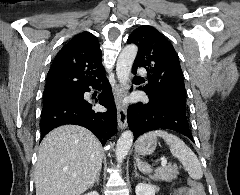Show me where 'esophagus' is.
Returning <instances> with one entry per match:
<instances>
[{"label":"esophagus","instance_id":"1","mask_svg":"<svg viewBox=\"0 0 240 195\" xmlns=\"http://www.w3.org/2000/svg\"><path fill=\"white\" fill-rule=\"evenodd\" d=\"M127 93V87L122 85H116L115 87V99L117 109L118 127L123 130L127 127V106L123 101L124 96Z\"/></svg>","mask_w":240,"mask_h":195}]
</instances>
